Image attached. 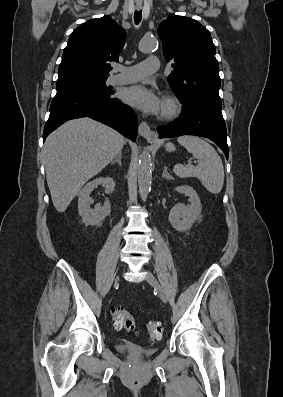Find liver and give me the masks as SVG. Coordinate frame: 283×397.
Instances as JSON below:
<instances>
[{"label": "liver", "mask_w": 283, "mask_h": 397, "mask_svg": "<svg viewBox=\"0 0 283 397\" xmlns=\"http://www.w3.org/2000/svg\"><path fill=\"white\" fill-rule=\"evenodd\" d=\"M124 137L90 118L70 120L43 147L47 184L55 209L64 212L81 187L122 150Z\"/></svg>", "instance_id": "obj_1"}]
</instances>
